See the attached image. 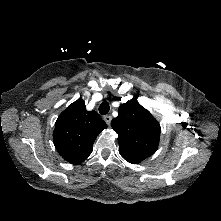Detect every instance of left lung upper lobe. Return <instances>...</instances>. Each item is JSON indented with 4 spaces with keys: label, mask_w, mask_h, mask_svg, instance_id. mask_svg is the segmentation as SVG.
Instances as JSON below:
<instances>
[{
    "label": "left lung upper lobe",
    "mask_w": 221,
    "mask_h": 221,
    "mask_svg": "<svg viewBox=\"0 0 221 221\" xmlns=\"http://www.w3.org/2000/svg\"><path fill=\"white\" fill-rule=\"evenodd\" d=\"M111 126L118 134L120 154L129 163H140L156 152L160 125L136 99L119 107L118 117L112 120Z\"/></svg>",
    "instance_id": "obj_1"
}]
</instances>
